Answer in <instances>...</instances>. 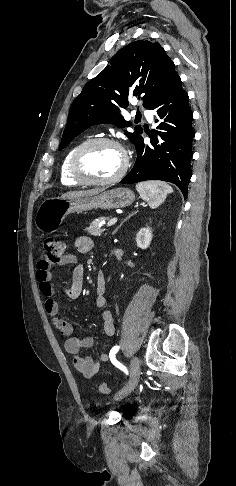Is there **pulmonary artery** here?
I'll return each mask as SVG.
<instances>
[{"mask_svg":"<svg viewBox=\"0 0 236 486\" xmlns=\"http://www.w3.org/2000/svg\"><path fill=\"white\" fill-rule=\"evenodd\" d=\"M143 113L146 116V118L148 119V121L151 122L153 120V114L150 110L145 109V110H143Z\"/></svg>","mask_w":236,"mask_h":486,"instance_id":"e3ab8cb5","label":"pulmonary artery"}]
</instances>
